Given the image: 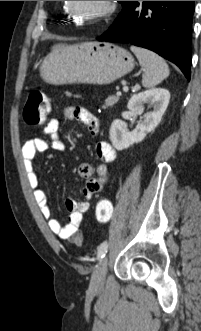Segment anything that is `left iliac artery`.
Returning <instances> with one entry per match:
<instances>
[{
    "mask_svg": "<svg viewBox=\"0 0 201 331\" xmlns=\"http://www.w3.org/2000/svg\"><path fill=\"white\" fill-rule=\"evenodd\" d=\"M107 249H108V242L104 241L100 244V246L98 247V259H102L106 253H107Z\"/></svg>",
    "mask_w": 201,
    "mask_h": 331,
    "instance_id": "obj_1",
    "label": "left iliac artery"
}]
</instances>
